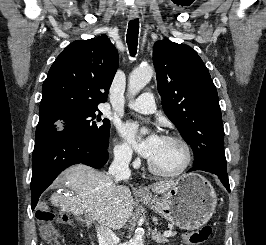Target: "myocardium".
Masks as SVG:
<instances>
[{"label":"myocardium","instance_id":"1","mask_svg":"<svg viewBox=\"0 0 266 245\" xmlns=\"http://www.w3.org/2000/svg\"><path fill=\"white\" fill-rule=\"evenodd\" d=\"M164 139L167 140H171V141H176L178 142L183 150H184V163L182 165V167L177 170L176 172H172V173H165V172H161L157 169H155L153 167V165L151 164L150 161H148L147 166H148V170L151 174H153L154 176L157 177H161V178H177L182 176L184 173L187 172V170L190 168L192 161H193V152H192V148L190 146V144L182 137L178 136V135H174V134H166L163 136Z\"/></svg>","mask_w":266,"mask_h":245}]
</instances>
